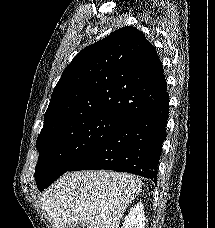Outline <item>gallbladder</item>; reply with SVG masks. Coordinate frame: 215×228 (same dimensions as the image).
Returning a JSON list of instances; mask_svg holds the SVG:
<instances>
[{"label": "gallbladder", "mask_w": 215, "mask_h": 228, "mask_svg": "<svg viewBox=\"0 0 215 228\" xmlns=\"http://www.w3.org/2000/svg\"><path fill=\"white\" fill-rule=\"evenodd\" d=\"M78 226H80V224H78ZM70 228H74V224H72V226H70Z\"/></svg>", "instance_id": "1"}]
</instances>
